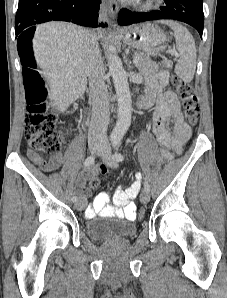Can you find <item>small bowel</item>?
I'll return each mask as SVG.
<instances>
[{"mask_svg": "<svg viewBox=\"0 0 227 298\" xmlns=\"http://www.w3.org/2000/svg\"><path fill=\"white\" fill-rule=\"evenodd\" d=\"M166 84L167 73L162 70L159 74L149 79L146 93L140 99L144 103V108L154 106L152 116L153 132L161 147L163 156L168 158L171 151H179L188 141L191 135V128L184 119L176 94L172 91H163ZM28 157L35 165L47 172L59 168L63 163L61 154L53 155L49 160H46L36 151L29 150ZM93 173L92 169H85L77 179V189L84 203H86L89 195L85 182L92 177ZM140 187L141 175L138 174L136 181L126 189L117 187L113 191L100 192L86 208L85 217L91 219L99 215L105 217L115 216L130 220L135 219L136 206L133 200L138 195Z\"/></svg>", "mask_w": 227, "mask_h": 298, "instance_id": "c3829d8e", "label": "small bowel"}]
</instances>
